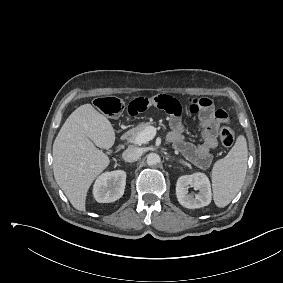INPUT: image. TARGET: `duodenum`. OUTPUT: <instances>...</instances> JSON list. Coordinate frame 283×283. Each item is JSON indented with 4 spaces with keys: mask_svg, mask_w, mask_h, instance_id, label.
<instances>
[{
    "mask_svg": "<svg viewBox=\"0 0 283 283\" xmlns=\"http://www.w3.org/2000/svg\"><path fill=\"white\" fill-rule=\"evenodd\" d=\"M133 131L132 130H127L121 135V141H126L131 135Z\"/></svg>",
    "mask_w": 283,
    "mask_h": 283,
    "instance_id": "obj_1",
    "label": "duodenum"
}]
</instances>
